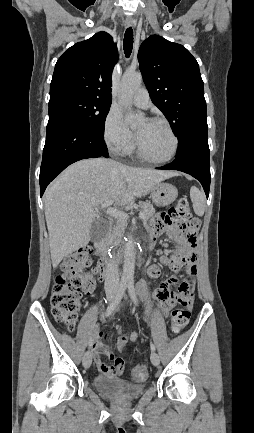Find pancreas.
<instances>
[{
  "instance_id": "pancreas-1",
  "label": "pancreas",
  "mask_w": 254,
  "mask_h": 433,
  "mask_svg": "<svg viewBox=\"0 0 254 433\" xmlns=\"http://www.w3.org/2000/svg\"><path fill=\"white\" fill-rule=\"evenodd\" d=\"M139 208L141 209L140 212L145 214V219L150 218L155 213V208L150 202H140ZM126 227V220L117 219L112 228V231L109 234V241L111 243L119 242V239L123 236Z\"/></svg>"
}]
</instances>
